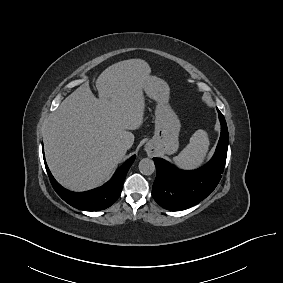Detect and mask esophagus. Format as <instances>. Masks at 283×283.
I'll use <instances>...</instances> for the list:
<instances>
[{"label": "esophagus", "mask_w": 283, "mask_h": 283, "mask_svg": "<svg viewBox=\"0 0 283 283\" xmlns=\"http://www.w3.org/2000/svg\"><path fill=\"white\" fill-rule=\"evenodd\" d=\"M145 150L149 156H154L156 154V149L153 145L148 144Z\"/></svg>", "instance_id": "esophagus-1"}]
</instances>
